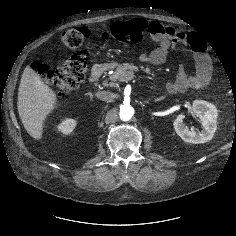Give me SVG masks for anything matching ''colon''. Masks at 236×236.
Instances as JSON below:
<instances>
[{
  "label": "colon",
  "instance_id": "1",
  "mask_svg": "<svg viewBox=\"0 0 236 236\" xmlns=\"http://www.w3.org/2000/svg\"><path fill=\"white\" fill-rule=\"evenodd\" d=\"M148 30V24L143 19L116 22L110 30L102 33L103 38L113 39L125 44L140 43ZM91 37V33L84 27H77L64 31L61 42L75 51L62 65L52 69L41 62L34 63V70L48 85L61 93H69L79 87L84 80L87 69L88 52L84 44ZM228 89L233 87L231 82L226 84Z\"/></svg>",
  "mask_w": 236,
  "mask_h": 236
}]
</instances>
